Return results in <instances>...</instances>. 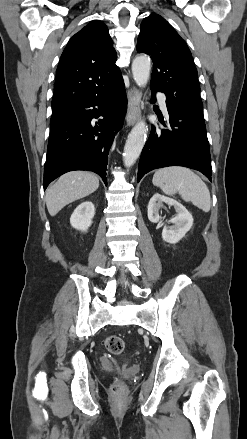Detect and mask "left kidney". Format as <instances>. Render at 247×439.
<instances>
[{
	"label": "left kidney",
	"mask_w": 247,
	"mask_h": 439,
	"mask_svg": "<svg viewBox=\"0 0 247 439\" xmlns=\"http://www.w3.org/2000/svg\"><path fill=\"white\" fill-rule=\"evenodd\" d=\"M163 202L169 206H173L177 214L169 221L173 224L172 226L165 225L163 227L162 239L165 242L175 244L191 229L193 225V217L177 200L155 193L148 204V219L152 223H158L160 221L159 209Z\"/></svg>",
	"instance_id": "obj_1"
}]
</instances>
